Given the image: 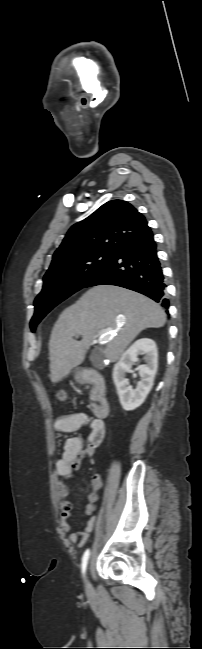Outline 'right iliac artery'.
<instances>
[{"label":"right iliac artery","mask_w":202,"mask_h":649,"mask_svg":"<svg viewBox=\"0 0 202 649\" xmlns=\"http://www.w3.org/2000/svg\"><path fill=\"white\" fill-rule=\"evenodd\" d=\"M89 555H90V551H89V549H87V550L85 551L83 557H82V573H83V575H84L85 572H86V568H87V563H88Z\"/></svg>","instance_id":"right-iliac-artery-1"}]
</instances>
